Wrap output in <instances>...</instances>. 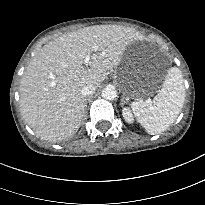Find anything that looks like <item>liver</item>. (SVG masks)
I'll return each instance as SVG.
<instances>
[{
    "label": "liver",
    "instance_id": "1",
    "mask_svg": "<svg viewBox=\"0 0 205 205\" xmlns=\"http://www.w3.org/2000/svg\"><path fill=\"white\" fill-rule=\"evenodd\" d=\"M135 33L115 25H95L68 32L42 47L22 76L20 108L25 122L44 140L57 142L75 134L82 122V88H98L116 67ZM89 55L90 68L84 66Z\"/></svg>",
    "mask_w": 205,
    "mask_h": 205
}]
</instances>
